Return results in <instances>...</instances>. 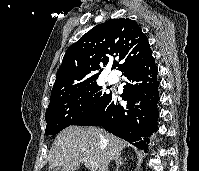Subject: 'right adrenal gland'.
Masks as SVG:
<instances>
[{
	"label": "right adrenal gland",
	"mask_w": 199,
	"mask_h": 171,
	"mask_svg": "<svg viewBox=\"0 0 199 171\" xmlns=\"http://www.w3.org/2000/svg\"><path fill=\"white\" fill-rule=\"evenodd\" d=\"M125 160L126 158H122L120 154L116 157V170L115 171H119L120 166L123 165Z\"/></svg>",
	"instance_id": "right-adrenal-gland-1"
}]
</instances>
